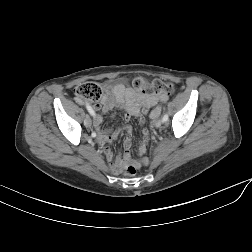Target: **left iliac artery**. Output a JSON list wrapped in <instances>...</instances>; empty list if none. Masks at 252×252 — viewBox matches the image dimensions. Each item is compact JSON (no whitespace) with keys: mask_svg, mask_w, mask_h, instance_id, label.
I'll return each mask as SVG.
<instances>
[{"mask_svg":"<svg viewBox=\"0 0 252 252\" xmlns=\"http://www.w3.org/2000/svg\"><path fill=\"white\" fill-rule=\"evenodd\" d=\"M168 114L165 113L164 116L162 117V122H166L168 120Z\"/></svg>","mask_w":252,"mask_h":252,"instance_id":"44dca946","label":"left iliac artery"}]
</instances>
